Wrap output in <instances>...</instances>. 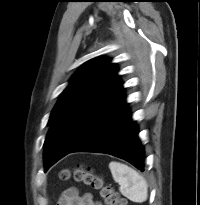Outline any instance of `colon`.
I'll list each match as a JSON object with an SVG mask.
<instances>
[{
	"instance_id": "obj_1",
	"label": "colon",
	"mask_w": 200,
	"mask_h": 205,
	"mask_svg": "<svg viewBox=\"0 0 200 205\" xmlns=\"http://www.w3.org/2000/svg\"><path fill=\"white\" fill-rule=\"evenodd\" d=\"M62 180L73 178L76 182L83 183L99 191L105 205H127V201L122 198L115 188L105 182L103 176L84 164H80L73 169H63L60 173Z\"/></svg>"
}]
</instances>
